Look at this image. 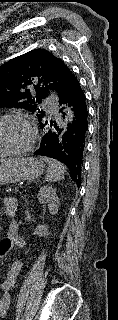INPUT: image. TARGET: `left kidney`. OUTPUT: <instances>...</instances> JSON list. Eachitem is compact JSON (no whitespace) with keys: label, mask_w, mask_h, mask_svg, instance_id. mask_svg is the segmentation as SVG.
<instances>
[{"label":"left kidney","mask_w":118,"mask_h":320,"mask_svg":"<svg viewBox=\"0 0 118 320\" xmlns=\"http://www.w3.org/2000/svg\"><path fill=\"white\" fill-rule=\"evenodd\" d=\"M38 201L41 204H47L50 214L56 215L59 209V198L56 194V189L52 186H42L37 195ZM47 233V226L39 225L35 229V234L39 236H44Z\"/></svg>","instance_id":"5707ae66"}]
</instances>
